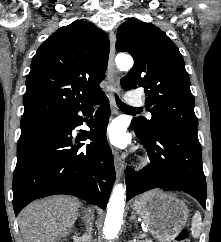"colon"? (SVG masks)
Listing matches in <instances>:
<instances>
[{"label":"colon","mask_w":221,"mask_h":242,"mask_svg":"<svg viewBox=\"0 0 221 242\" xmlns=\"http://www.w3.org/2000/svg\"><path fill=\"white\" fill-rule=\"evenodd\" d=\"M173 242H190L187 230L183 229L179 231L176 234Z\"/></svg>","instance_id":"obj_1"}]
</instances>
